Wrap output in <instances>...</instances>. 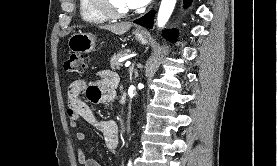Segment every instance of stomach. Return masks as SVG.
I'll return each mask as SVG.
<instances>
[{
    "label": "stomach",
    "instance_id": "1",
    "mask_svg": "<svg viewBox=\"0 0 277 166\" xmlns=\"http://www.w3.org/2000/svg\"><path fill=\"white\" fill-rule=\"evenodd\" d=\"M135 38L141 44H146L147 37L140 31L134 32ZM69 49L77 54L90 53L96 46V38L91 33H83L81 31L74 33L68 40Z\"/></svg>",
    "mask_w": 277,
    "mask_h": 166
}]
</instances>
